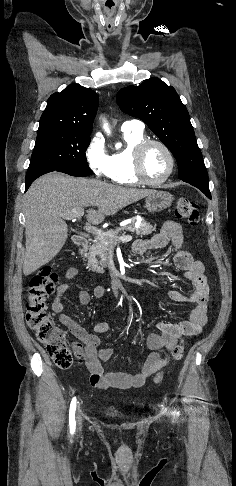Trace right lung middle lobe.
<instances>
[{
  "label": "right lung middle lobe",
  "instance_id": "right-lung-middle-lobe-1",
  "mask_svg": "<svg viewBox=\"0 0 236 486\" xmlns=\"http://www.w3.org/2000/svg\"><path fill=\"white\" fill-rule=\"evenodd\" d=\"M91 133L65 130H38L27 173L50 169L91 174L86 149Z\"/></svg>",
  "mask_w": 236,
  "mask_h": 486
}]
</instances>
